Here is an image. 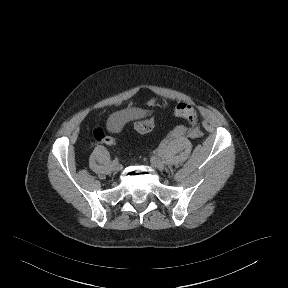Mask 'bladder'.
I'll return each instance as SVG.
<instances>
[{"mask_svg": "<svg viewBox=\"0 0 288 288\" xmlns=\"http://www.w3.org/2000/svg\"><path fill=\"white\" fill-rule=\"evenodd\" d=\"M133 114V112L132 111H127V112H125V113H123L122 115H120V119L118 118H114L113 120H112V123L113 124H115V123H119V121H121V120H123L124 118H126V117H130L131 115Z\"/></svg>", "mask_w": 288, "mask_h": 288, "instance_id": "obj_1", "label": "bladder"}]
</instances>
